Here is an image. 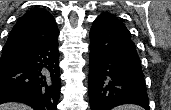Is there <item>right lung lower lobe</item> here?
Returning <instances> with one entry per match:
<instances>
[{
    "mask_svg": "<svg viewBox=\"0 0 171 110\" xmlns=\"http://www.w3.org/2000/svg\"><path fill=\"white\" fill-rule=\"evenodd\" d=\"M58 34L25 51L17 64L0 70V104L16 101L34 110H57L61 87Z\"/></svg>",
    "mask_w": 171,
    "mask_h": 110,
    "instance_id": "obj_1",
    "label": "right lung lower lobe"
}]
</instances>
